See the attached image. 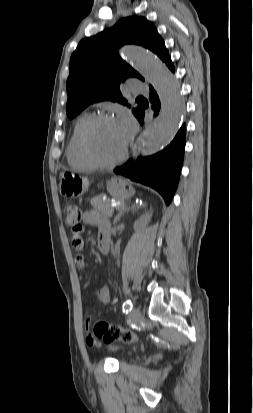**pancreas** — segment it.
Instances as JSON below:
<instances>
[{
  "instance_id": "pancreas-1",
  "label": "pancreas",
  "mask_w": 253,
  "mask_h": 413,
  "mask_svg": "<svg viewBox=\"0 0 253 413\" xmlns=\"http://www.w3.org/2000/svg\"><path fill=\"white\" fill-rule=\"evenodd\" d=\"M91 205L96 210L100 211L107 217H112L114 208L110 206L111 200L109 198H102V195L96 196L91 199Z\"/></svg>"
}]
</instances>
